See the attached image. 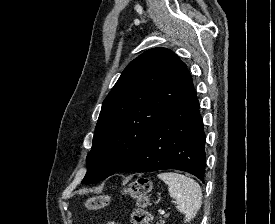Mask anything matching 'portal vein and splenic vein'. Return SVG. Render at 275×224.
I'll return each mask as SVG.
<instances>
[{
    "label": "portal vein and splenic vein",
    "mask_w": 275,
    "mask_h": 224,
    "mask_svg": "<svg viewBox=\"0 0 275 224\" xmlns=\"http://www.w3.org/2000/svg\"><path fill=\"white\" fill-rule=\"evenodd\" d=\"M165 212L163 210L160 211V214H164Z\"/></svg>",
    "instance_id": "1"
}]
</instances>
